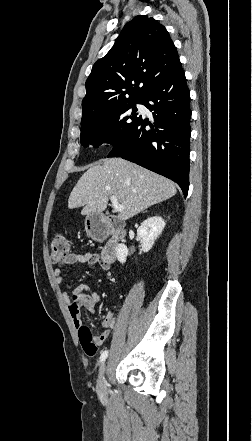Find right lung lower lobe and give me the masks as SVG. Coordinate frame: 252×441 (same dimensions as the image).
Masks as SVG:
<instances>
[{"label": "right lung lower lobe", "mask_w": 252, "mask_h": 441, "mask_svg": "<svg viewBox=\"0 0 252 441\" xmlns=\"http://www.w3.org/2000/svg\"><path fill=\"white\" fill-rule=\"evenodd\" d=\"M190 93L180 61L141 100L153 111L154 123L137 122L130 134L113 146L108 157H121L189 187ZM150 125L151 129L145 127Z\"/></svg>", "instance_id": "right-lung-lower-lobe-1"}]
</instances>
